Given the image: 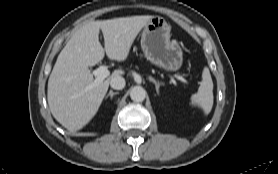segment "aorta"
<instances>
[{"instance_id":"1","label":"aorta","mask_w":278,"mask_h":174,"mask_svg":"<svg viewBox=\"0 0 278 174\" xmlns=\"http://www.w3.org/2000/svg\"><path fill=\"white\" fill-rule=\"evenodd\" d=\"M146 97V91L141 86H135L130 91V98L134 102H142Z\"/></svg>"}]
</instances>
